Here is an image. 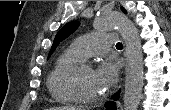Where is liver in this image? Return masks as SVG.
<instances>
[{
    "label": "liver",
    "mask_w": 171,
    "mask_h": 110,
    "mask_svg": "<svg viewBox=\"0 0 171 110\" xmlns=\"http://www.w3.org/2000/svg\"><path fill=\"white\" fill-rule=\"evenodd\" d=\"M49 110H83L81 107H72V106H63V107H54Z\"/></svg>",
    "instance_id": "1"
}]
</instances>
